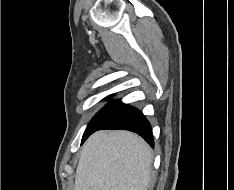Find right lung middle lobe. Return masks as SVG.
Segmentation results:
<instances>
[{"label": "right lung middle lobe", "mask_w": 234, "mask_h": 190, "mask_svg": "<svg viewBox=\"0 0 234 190\" xmlns=\"http://www.w3.org/2000/svg\"><path fill=\"white\" fill-rule=\"evenodd\" d=\"M119 100L111 101L105 107H103L92 119V121L87 126L84 135L96 130L112 113L113 109L118 104Z\"/></svg>", "instance_id": "right-lung-middle-lobe-1"}]
</instances>
